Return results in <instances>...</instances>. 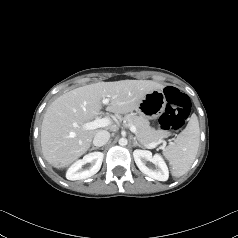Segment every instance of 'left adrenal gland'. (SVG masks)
<instances>
[{
  "label": "left adrenal gland",
  "instance_id": "1",
  "mask_svg": "<svg viewBox=\"0 0 238 238\" xmlns=\"http://www.w3.org/2000/svg\"><path fill=\"white\" fill-rule=\"evenodd\" d=\"M133 146H139V147L143 148V146L137 142L135 137L133 138Z\"/></svg>",
  "mask_w": 238,
  "mask_h": 238
}]
</instances>
